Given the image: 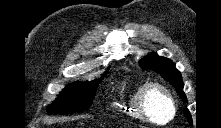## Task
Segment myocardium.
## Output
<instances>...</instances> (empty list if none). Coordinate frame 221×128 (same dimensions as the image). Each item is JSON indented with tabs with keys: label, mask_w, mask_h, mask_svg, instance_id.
Listing matches in <instances>:
<instances>
[{
	"label": "myocardium",
	"mask_w": 221,
	"mask_h": 128,
	"mask_svg": "<svg viewBox=\"0 0 221 128\" xmlns=\"http://www.w3.org/2000/svg\"><path fill=\"white\" fill-rule=\"evenodd\" d=\"M161 95L168 103L170 107V116L167 118L164 122H157L154 117L152 116V113L149 108V103L151 98L154 95ZM138 105H139V112L141 116L153 123L157 124H167L170 121L173 120L175 114H176V104L173 95L171 94L170 90L162 83L159 82H150L142 88L139 98H138Z\"/></svg>",
	"instance_id": "myocardium-1"
}]
</instances>
